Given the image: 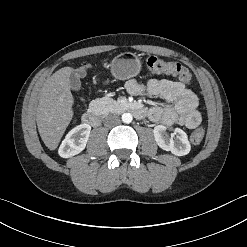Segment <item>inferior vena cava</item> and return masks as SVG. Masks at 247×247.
<instances>
[{"mask_svg":"<svg viewBox=\"0 0 247 247\" xmlns=\"http://www.w3.org/2000/svg\"><path fill=\"white\" fill-rule=\"evenodd\" d=\"M120 123V118L118 115H109L104 119V125L114 126Z\"/></svg>","mask_w":247,"mask_h":247,"instance_id":"602c4592","label":"inferior vena cava"}]
</instances>
